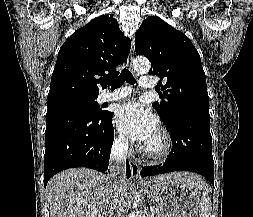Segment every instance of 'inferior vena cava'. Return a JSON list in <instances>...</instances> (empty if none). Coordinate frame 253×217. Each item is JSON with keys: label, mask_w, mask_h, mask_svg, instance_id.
<instances>
[{"label": "inferior vena cava", "mask_w": 253, "mask_h": 217, "mask_svg": "<svg viewBox=\"0 0 253 217\" xmlns=\"http://www.w3.org/2000/svg\"><path fill=\"white\" fill-rule=\"evenodd\" d=\"M128 150V141L124 138L118 140L112 147L109 161L108 176H118L120 179H112L110 193L112 196V207L115 210L113 217H120L122 184L125 177V160Z\"/></svg>", "instance_id": "inferior-vena-cava-1"}]
</instances>
